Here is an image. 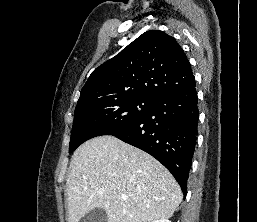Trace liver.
Listing matches in <instances>:
<instances>
[{
  "instance_id": "6515ba94",
  "label": "liver",
  "mask_w": 257,
  "mask_h": 222,
  "mask_svg": "<svg viewBox=\"0 0 257 222\" xmlns=\"http://www.w3.org/2000/svg\"><path fill=\"white\" fill-rule=\"evenodd\" d=\"M66 191L68 222L95 208L106 211L108 222H152L172 217L182 201L180 186L161 163L110 135L74 152Z\"/></svg>"
}]
</instances>
